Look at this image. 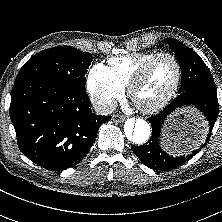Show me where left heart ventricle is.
Returning a JSON list of instances; mask_svg holds the SVG:
<instances>
[{
    "mask_svg": "<svg viewBox=\"0 0 222 222\" xmlns=\"http://www.w3.org/2000/svg\"><path fill=\"white\" fill-rule=\"evenodd\" d=\"M175 77L176 66L170 58L156 60L134 93L135 103L139 106L157 103L171 89Z\"/></svg>",
    "mask_w": 222,
    "mask_h": 222,
    "instance_id": "left-heart-ventricle-1",
    "label": "left heart ventricle"
}]
</instances>
